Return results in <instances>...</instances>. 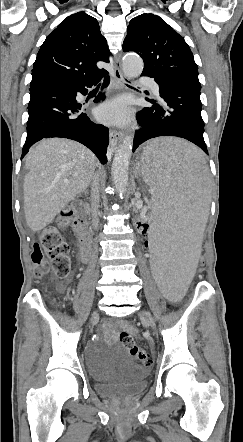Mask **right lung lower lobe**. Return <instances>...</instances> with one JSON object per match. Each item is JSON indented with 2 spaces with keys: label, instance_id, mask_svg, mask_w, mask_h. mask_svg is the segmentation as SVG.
Returning <instances> with one entry per match:
<instances>
[{
  "label": "right lung lower lobe",
  "instance_id": "98d812e1",
  "mask_svg": "<svg viewBox=\"0 0 243 442\" xmlns=\"http://www.w3.org/2000/svg\"><path fill=\"white\" fill-rule=\"evenodd\" d=\"M107 71L82 82H44L30 86L28 106L27 138L22 150L23 158L37 141L49 137H63L78 141L91 149L102 164L107 163L106 151L109 131L100 124L93 123L84 114L83 105L76 100L77 93L86 94L105 77L102 87L109 84ZM99 94L94 102L103 100Z\"/></svg>",
  "mask_w": 243,
  "mask_h": 442
}]
</instances>
